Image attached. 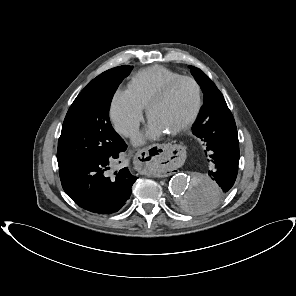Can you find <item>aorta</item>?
Instances as JSON below:
<instances>
[{
  "mask_svg": "<svg viewBox=\"0 0 296 296\" xmlns=\"http://www.w3.org/2000/svg\"><path fill=\"white\" fill-rule=\"evenodd\" d=\"M169 191L182 210L190 214H203L214 208L219 198L217 183L203 173L174 175Z\"/></svg>",
  "mask_w": 296,
  "mask_h": 296,
  "instance_id": "obj_1",
  "label": "aorta"
}]
</instances>
